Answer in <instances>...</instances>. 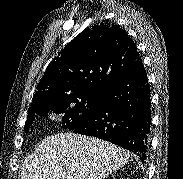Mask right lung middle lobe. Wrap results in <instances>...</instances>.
Listing matches in <instances>:
<instances>
[{
    "instance_id": "right-lung-middle-lobe-1",
    "label": "right lung middle lobe",
    "mask_w": 183,
    "mask_h": 179,
    "mask_svg": "<svg viewBox=\"0 0 183 179\" xmlns=\"http://www.w3.org/2000/svg\"><path fill=\"white\" fill-rule=\"evenodd\" d=\"M99 101V94L62 96L41 101L28 109L25 131L28 132L32 127L36 115H47L49 108L56 113L65 114L62 117L63 123L61 128L74 130L94 117L99 108Z\"/></svg>"
}]
</instances>
